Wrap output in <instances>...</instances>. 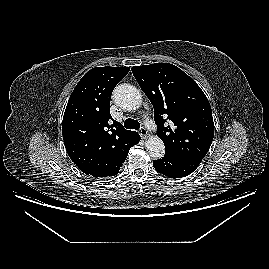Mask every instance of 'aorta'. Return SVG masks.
I'll return each instance as SVG.
<instances>
[{
	"instance_id": "762f6f07",
	"label": "aorta",
	"mask_w": 269,
	"mask_h": 269,
	"mask_svg": "<svg viewBox=\"0 0 269 269\" xmlns=\"http://www.w3.org/2000/svg\"><path fill=\"white\" fill-rule=\"evenodd\" d=\"M114 101L117 105L126 110H136L142 103L140 91L133 85L121 84L117 86L113 93ZM145 147L150 157L160 159L165 155V145L158 136H150Z\"/></svg>"
}]
</instances>
